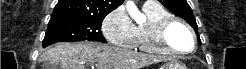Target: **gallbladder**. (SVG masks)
I'll return each instance as SVG.
<instances>
[{
  "mask_svg": "<svg viewBox=\"0 0 246 69\" xmlns=\"http://www.w3.org/2000/svg\"><path fill=\"white\" fill-rule=\"evenodd\" d=\"M43 69H59L58 66H53L52 64H50L49 62H45L43 64Z\"/></svg>",
  "mask_w": 246,
  "mask_h": 69,
  "instance_id": "1",
  "label": "gallbladder"
}]
</instances>
